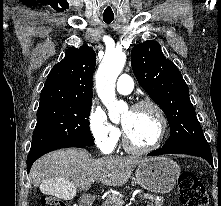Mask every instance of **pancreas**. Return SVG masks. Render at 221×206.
Wrapping results in <instances>:
<instances>
[{"mask_svg":"<svg viewBox=\"0 0 221 206\" xmlns=\"http://www.w3.org/2000/svg\"><path fill=\"white\" fill-rule=\"evenodd\" d=\"M124 201L118 195H110L101 206H123ZM147 206H162V204L154 197L149 199Z\"/></svg>","mask_w":221,"mask_h":206,"instance_id":"cf45deb5","label":"pancreas"}]
</instances>
